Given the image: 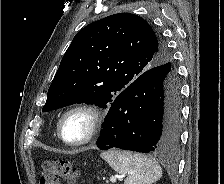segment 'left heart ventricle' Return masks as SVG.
Masks as SVG:
<instances>
[{"mask_svg": "<svg viewBox=\"0 0 224 184\" xmlns=\"http://www.w3.org/2000/svg\"><path fill=\"white\" fill-rule=\"evenodd\" d=\"M90 118L85 113H73L64 122L63 134L70 141H78L85 137L89 130Z\"/></svg>", "mask_w": 224, "mask_h": 184, "instance_id": "b2bd125f", "label": "left heart ventricle"}]
</instances>
